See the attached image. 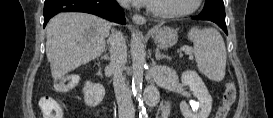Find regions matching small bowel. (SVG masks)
<instances>
[{"instance_id": "c3829d8e", "label": "small bowel", "mask_w": 273, "mask_h": 118, "mask_svg": "<svg viewBox=\"0 0 273 118\" xmlns=\"http://www.w3.org/2000/svg\"><path fill=\"white\" fill-rule=\"evenodd\" d=\"M168 111H169V106L165 105L164 109H163V116L166 117L168 115Z\"/></svg>"}]
</instances>
